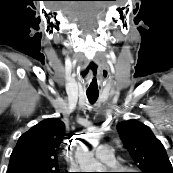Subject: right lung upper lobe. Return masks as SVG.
I'll return each instance as SVG.
<instances>
[{"instance_id": "1", "label": "right lung upper lobe", "mask_w": 173, "mask_h": 173, "mask_svg": "<svg viewBox=\"0 0 173 173\" xmlns=\"http://www.w3.org/2000/svg\"><path fill=\"white\" fill-rule=\"evenodd\" d=\"M67 136L62 121L56 118L41 121L19 138L7 173L59 171L58 153Z\"/></svg>"}]
</instances>
